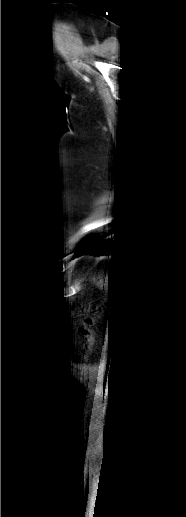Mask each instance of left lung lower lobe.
Segmentation results:
<instances>
[{
    "instance_id": "left-lung-lower-lobe-1",
    "label": "left lung lower lobe",
    "mask_w": 186,
    "mask_h": 517,
    "mask_svg": "<svg viewBox=\"0 0 186 517\" xmlns=\"http://www.w3.org/2000/svg\"><path fill=\"white\" fill-rule=\"evenodd\" d=\"M117 254V246L115 242L100 241L99 237H94L89 240L79 249L78 255L82 254Z\"/></svg>"
}]
</instances>
